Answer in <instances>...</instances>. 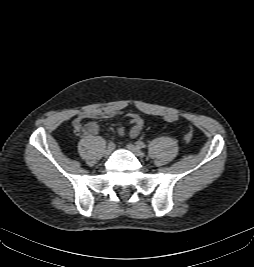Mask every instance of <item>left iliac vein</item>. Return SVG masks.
I'll return each mask as SVG.
<instances>
[{
	"mask_svg": "<svg viewBox=\"0 0 254 267\" xmlns=\"http://www.w3.org/2000/svg\"><path fill=\"white\" fill-rule=\"evenodd\" d=\"M128 150H130L135 156L142 158L144 157V153L138 148L136 147L134 144L129 143L127 145Z\"/></svg>",
	"mask_w": 254,
	"mask_h": 267,
	"instance_id": "left-iliac-vein-1",
	"label": "left iliac vein"
}]
</instances>
